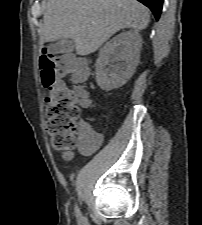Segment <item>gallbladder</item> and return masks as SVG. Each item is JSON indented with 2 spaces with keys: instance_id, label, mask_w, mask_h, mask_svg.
<instances>
[{
  "instance_id": "obj_1",
  "label": "gallbladder",
  "mask_w": 202,
  "mask_h": 225,
  "mask_svg": "<svg viewBox=\"0 0 202 225\" xmlns=\"http://www.w3.org/2000/svg\"><path fill=\"white\" fill-rule=\"evenodd\" d=\"M75 49V42L70 38L60 39L49 46V53L64 54L72 53Z\"/></svg>"
}]
</instances>
